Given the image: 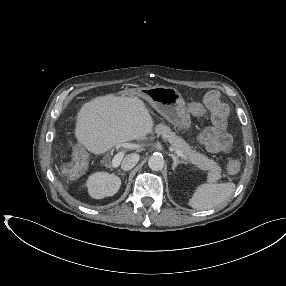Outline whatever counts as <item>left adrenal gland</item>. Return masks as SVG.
Listing matches in <instances>:
<instances>
[{
    "mask_svg": "<svg viewBox=\"0 0 286 286\" xmlns=\"http://www.w3.org/2000/svg\"><path fill=\"white\" fill-rule=\"evenodd\" d=\"M169 156L173 159V165H172V169L175 170V168L177 167L178 164H182V163H186L183 160H179L178 157L174 154H169Z\"/></svg>",
    "mask_w": 286,
    "mask_h": 286,
    "instance_id": "obj_1",
    "label": "left adrenal gland"
}]
</instances>
